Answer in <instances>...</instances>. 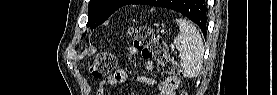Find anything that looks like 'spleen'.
I'll list each match as a JSON object with an SVG mask.
<instances>
[{"mask_svg": "<svg viewBox=\"0 0 277 95\" xmlns=\"http://www.w3.org/2000/svg\"><path fill=\"white\" fill-rule=\"evenodd\" d=\"M179 34L174 44L179 51L180 64L187 77L197 76L202 68L204 47L196 27L184 19H176Z\"/></svg>", "mask_w": 277, "mask_h": 95, "instance_id": "1", "label": "spleen"}]
</instances>
